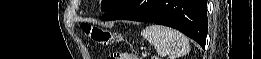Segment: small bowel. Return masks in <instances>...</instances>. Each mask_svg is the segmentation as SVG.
<instances>
[{
	"mask_svg": "<svg viewBox=\"0 0 261 59\" xmlns=\"http://www.w3.org/2000/svg\"><path fill=\"white\" fill-rule=\"evenodd\" d=\"M119 56H120L119 59H126L125 57L130 56V54L123 53V54H120Z\"/></svg>",
	"mask_w": 261,
	"mask_h": 59,
	"instance_id": "1",
	"label": "small bowel"
}]
</instances>
